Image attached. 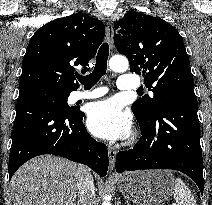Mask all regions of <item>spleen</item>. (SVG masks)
<instances>
[{"label":"spleen","mask_w":212,"mask_h":205,"mask_svg":"<svg viewBox=\"0 0 212 205\" xmlns=\"http://www.w3.org/2000/svg\"><path fill=\"white\" fill-rule=\"evenodd\" d=\"M173 196L176 201L174 205H197L191 191L180 178L175 180Z\"/></svg>","instance_id":"spleen-1"}]
</instances>
